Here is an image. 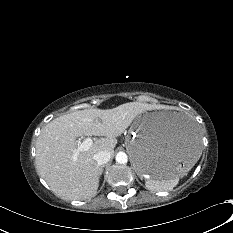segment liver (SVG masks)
<instances>
[{
    "label": "liver",
    "mask_w": 233,
    "mask_h": 233,
    "mask_svg": "<svg viewBox=\"0 0 233 233\" xmlns=\"http://www.w3.org/2000/svg\"><path fill=\"white\" fill-rule=\"evenodd\" d=\"M151 104L128 102L112 109H85L60 116L48 123L36 142V170L52 192L64 200H86L96 195L101 166L94 155L111 154L120 136L141 113L157 109ZM102 136L77 157V137Z\"/></svg>",
    "instance_id": "obj_1"
}]
</instances>
